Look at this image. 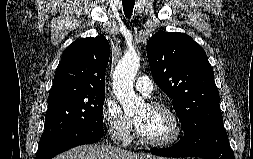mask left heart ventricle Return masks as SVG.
<instances>
[{
	"label": "left heart ventricle",
	"instance_id": "obj_1",
	"mask_svg": "<svg viewBox=\"0 0 253 159\" xmlns=\"http://www.w3.org/2000/svg\"><path fill=\"white\" fill-rule=\"evenodd\" d=\"M135 121L142 135L150 140H163L173 133L169 115L160 109L145 106L135 115Z\"/></svg>",
	"mask_w": 253,
	"mask_h": 159
}]
</instances>
